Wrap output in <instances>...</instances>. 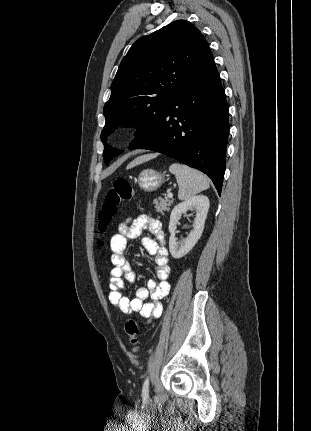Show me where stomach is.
<instances>
[{"mask_svg":"<svg viewBox=\"0 0 311 431\" xmlns=\"http://www.w3.org/2000/svg\"><path fill=\"white\" fill-rule=\"evenodd\" d=\"M165 176L166 174H162V172L147 168V170L140 172L136 182L143 192H155V190H158L164 184Z\"/></svg>","mask_w":311,"mask_h":431,"instance_id":"stomach-1","label":"stomach"}]
</instances>
